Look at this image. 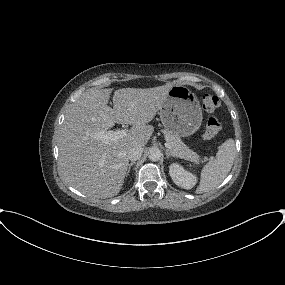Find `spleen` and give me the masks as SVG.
Returning a JSON list of instances; mask_svg holds the SVG:
<instances>
[{"instance_id": "obj_1", "label": "spleen", "mask_w": 285, "mask_h": 285, "mask_svg": "<svg viewBox=\"0 0 285 285\" xmlns=\"http://www.w3.org/2000/svg\"><path fill=\"white\" fill-rule=\"evenodd\" d=\"M235 156V142L233 139H227L219 147L215 159L209 161L203 167L200 184L196 189V193L209 192L219 186L230 172Z\"/></svg>"}]
</instances>
